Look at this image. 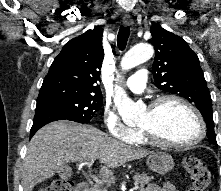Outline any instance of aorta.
Masks as SVG:
<instances>
[{
  "instance_id": "1",
  "label": "aorta",
  "mask_w": 221,
  "mask_h": 191,
  "mask_svg": "<svg viewBox=\"0 0 221 191\" xmlns=\"http://www.w3.org/2000/svg\"><path fill=\"white\" fill-rule=\"evenodd\" d=\"M153 54L154 49L152 45L148 43L137 44L123 56L121 67L123 70L132 69L133 67L149 60ZM114 103L118 113L127 124L135 122L143 112V107L134 103L120 87H118L115 93Z\"/></svg>"
}]
</instances>
